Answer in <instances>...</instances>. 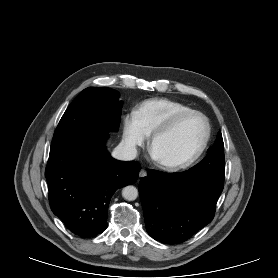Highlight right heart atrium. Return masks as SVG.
Returning a JSON list of instances; mask_svg holds the SVG:
<instances>
[{
	"mask_svg": "<svg viewBox=\"0 0 278 278\" xmlns=\"http://www.w3.org/2000/svg\"><path fill=\"white\" fill-rule=\"evenodd\" d=\"M122 139L125 146L131 151L143 146L148 139V133L143 128L135 111L123 116Z\"/></svg>",
	"mask_w": 278,
	"mask_h": 278,
	"instance_id": "obj_1",
	"label": "right heart atrium"
}]
</instances>
